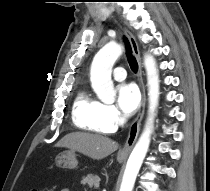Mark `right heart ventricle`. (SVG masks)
<instances>
[{
	"label": "right heart ventricle",
	"instance_id": "1",
	"mask_svg": "<svg viewBox=\"0 0 210 191\" xmlns=\"http://www.w3.org/2000/svg\"><path fill=\"white\" fill-rule=\"evenodd\" d=\"M72 115L75 125L84 131L107 134L115 129L114 125L105 118L104 104L91 97L85 90L77 94Z\"/></svg>",
	"mask_w": 210,
	"mask_h": 191
}]
</instances>
